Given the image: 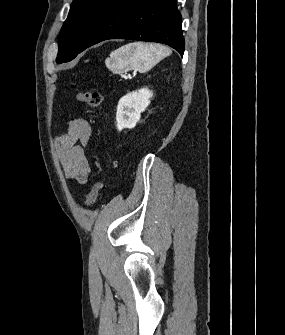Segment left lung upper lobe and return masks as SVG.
Masks as SVG:
<instances>
[{
  "label": "left lung upper lobe",
  "mask_w": 285,
  "mask_h": 335,
  "mask_svg": "<svg viewBox=\"0 0 285 335\" xmlns=\"http://www.w3.org/2000/svg\"><path fill=\"white\" fill-rule=\"evenodd\" d=\"M109 2L110 0H73L61 28L57 63L70 61L78 55L84 36Z\"/></svg>",
  "instance_id": "5c2ea615"
}]
</instances>
